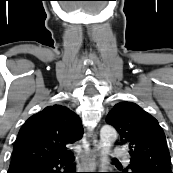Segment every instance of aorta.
Instances as JSON below:
<instances>
[{
  "label": "aorta",
  "mask_w": 173,
  "mask_h": 173,
  "mask_svg": "<svg viewBox=\"0 0 173 173\" xmlns=\"http://www.w3.org/2000/svg\"><path fill=\"white\" fill-rule=\"evenodd\" d=\"M117 139L116 130L109 125H104L100 130V160H101V169L102 172H105L106 164L108 161V155L110 153V149Z\"/></svg>",
  "instance_id": "1"
}]
</instances>
